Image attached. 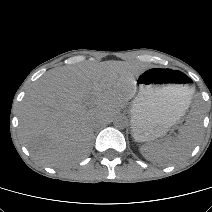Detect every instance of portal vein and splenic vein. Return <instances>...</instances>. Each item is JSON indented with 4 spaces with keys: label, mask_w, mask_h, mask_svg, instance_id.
<instances>
[{
    "label": "portal vein and splenic vein",
    "mask_w": 212,
    "mask_h": 212,
    "mask_svg": "<svg viewBox=\"0 0 212 212\" xmlns=\"http://www.w3.org/2000/svg\"><path fill=\"white\" fill-rule=\"evenodd\" d=\"M90 104H91V102H87V103H86V105H90Z\"/></svg>",
    "instance_id": "obj_1"
}]
</instances>
